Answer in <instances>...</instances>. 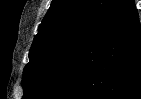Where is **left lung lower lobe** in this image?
I'll use <instances>...</instances> for the list:
<instances>
[{"instance_id": "0a47b994", "label": "left lung lower lobe", "mask_w": 141, "mask_h": 99, "mask_svg": "<svg viewBox=\"0 0 141 99\" xmlns=\"http://www.w3.org/2000/svg\"><path fill=\"white\" fill-rule=\"evenodd\" d=\"M38 99H141V26L122 0Z\"/></svg>"}]
</instances>
